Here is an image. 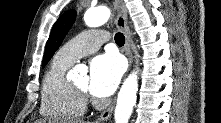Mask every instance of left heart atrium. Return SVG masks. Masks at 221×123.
<instances>
[{
	"label": "left heart atrium",
	"instance_id": "obj_1",
	"mask_svg": "<svg viewBox=\"0 0 221 123\" xmlns=\"http://www.w3.org/2000/svg\"><path fill=\"white\" fill-rule=\"evenodd\" d=\"M122 60L115 54L96 56L90 63L89 91L98 97L111 95L122 76Z\"/></svg>",
	"mask_w": 221,
	"mask_h": 123
}]
</instances>
